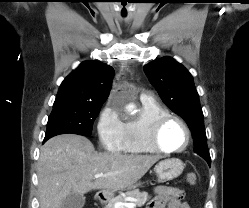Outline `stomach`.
Returning a JSON list of instances; mask_svg holds the SVG:
<instances>
[{
  "label": "stomach",
  "mask_w": 249,
  "mask_h": 208,
  "mask_svg": "<svg viewBox=\"0 0 249 208\" xmlns=\"http://www.w3.org/2000/svg\"><path fill=\"white\" fill-rule=\"evenodd\" d=\"M184 164L178 158L164 159L154 168L159 182H166L177 178L183 171ZM107 198L112 197L113 193H104Z\"/></svg>",
  "instance_id": "0dacf381"
}]
</instances>
